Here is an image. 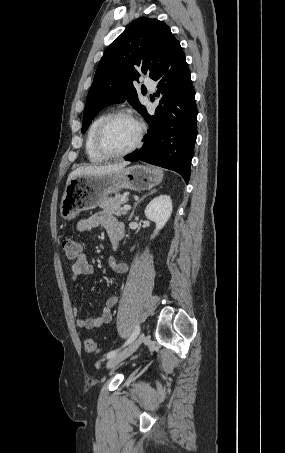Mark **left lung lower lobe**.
I'll return each mask as SVG.
<instances>
[{
	"mask_svg": "<svg viewBox=\"0 0 285 453\" xmlns=\"http://www.w3.org/2000/svg\"><path fill=\"white\" fill-rule=\"evenodd\" d=\"M153 80L158 82L157 95H162L159 106L154 115L143 110L142 115L149 124L144 145L124 159L176 171L188 183L197 137V109L190 70L180 43L172 49Z\"/></svg>",
	"mask_w": 285,
	"mask_h": 453,
	"instance_id": "obj_1",
	"label": "left lung lower lobe"
}]
</instances>
